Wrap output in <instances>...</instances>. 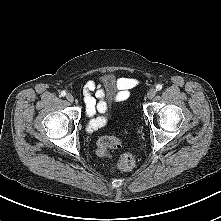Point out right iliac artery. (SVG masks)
Instances as JSON below:
<instances>
[{"label": "right iliac artery", "mask_w": 221, "mask_h": 221, "mask_svg": "<svg viewBox=\"0 0 221 221\" xmlns=\"http://www.w3.org/2000/svg\"><path fill=\"white\" fill-rule=\"evenodd\" d=\"M60 95H61L62 97H64V96H66V92H65V91H62V92L60 93Z\"/></svg>", "instance_id": "obj_1"}]
</instances>
